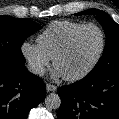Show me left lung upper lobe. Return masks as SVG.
<instances>
[{"instance_id":"5c2ea615","label":"left lung upper lobe","mask_w":119,"mask_h":119,"mask_svg":"<svg viewBox=\"0 0 119 119\" xmlns=\"http://www.w3.org/2000/svg\"><path fill=\"white\" fill-rule=\"evenodd\" d=\"M83 14H94L103 26L106 35L103 55L90 73L104 75L113 69L119 68V25L107 13L101 10L88 9L76 15Z\"/></svg>"}]
</instances>
